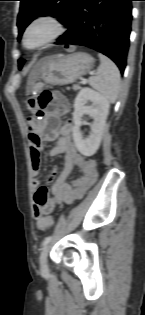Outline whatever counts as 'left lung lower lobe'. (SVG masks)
<instances>
[{
	"instance_id": "obj_1",
	"label": "left lung lower lobe",
	"mask_w": 145,
	"mask_h": 315,
	"mask_svg": "<svg viewBox=\"0 0 145 315\" xmlns=\"http://www.w3.org/2000/svg\"><path fill=\"white\" fill-rule=\"evenodd\" d=\"M134 0H76L55 44L81 45L111 58L121 73L126 66Z\"/></svg>"
}]
</instances>
